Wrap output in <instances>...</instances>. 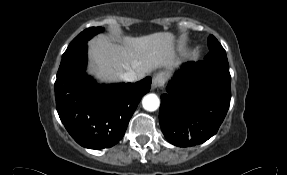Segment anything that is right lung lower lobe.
I'll return each mask as SVG.
<instances>
[{"label":"right lung lower lobe","mask_w":287,"mask_h":175,"mask_svg":"<svg viewBox=\"0 0 287 175\" xmlns=\"http://www.w3.org/2000/svg\"><path fill=\"white\" fill-rule=\"evenodd\" d=\"M87 41L62 56L55 82L56 109L66 130L81 146L110 148L122 139L151 78L100 85L85 73Z\"/></svg>","instance_id":"right-lung-lower-lobe-1"}]
</instances>
